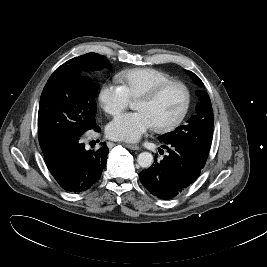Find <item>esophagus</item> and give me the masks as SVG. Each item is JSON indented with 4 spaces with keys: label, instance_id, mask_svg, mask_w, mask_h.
Masks as SVG:
<instances>
[{
    "label": "esophagus",
    "instance_id": "esophagus-1",
    "mask_svg": "<svg viewBox=\"0 0 267 267\" xmlns=\"http://www.w3.org/2000/svg\"><path fill=\"white\" fill-rule=\"evenodd\" d=\"M127 148L131 150H139L140 147L138 145H132V144H124Z\"/></svg>",
    "mask_w": 267,
    "mask_h": 267
}]
</instances>
